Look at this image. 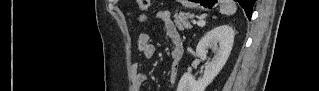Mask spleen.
Here are the masks:
<instances>
[{
	"label": "spleen",
	"mask_w": 319,
	"mask_h": 91,
	"mask_svg": "<svg viewBox=\"0 0 319 91\" xmlns=\"http://www.w3.org/2000/svg\"><path fill=\"white\" fill-rule=\"evenodd\" d=\"M237 10L236 4L232 0L220 1V12L225 15H233Z\"/></svg>",
	"instance_id": "3e777b00"
}]
</instances>
